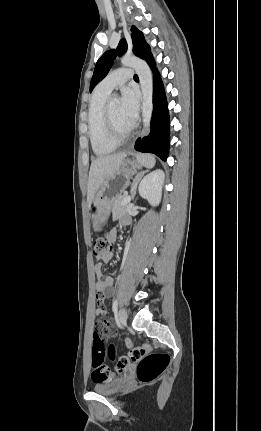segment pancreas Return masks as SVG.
Listing matches in <instances>:
<instances>
[{
  "label": "pancreas",
  "instance_id": "1",
  "mask_svg": "<svg viewBox=\"0 0 261 431\" xmlns=\"http://www.w3.org/2000/svg\"><path fill=\"white\" fill-rule=\"evenodd\" d=\"M125 198H126V195L120 194L114 199L111 206L114 217L118 216L119 214L126 213L128 209V204L122 205V202Z\"/></svg>",
  "mask_w": 261,
  "mask_h": 431
}]
</instances>
